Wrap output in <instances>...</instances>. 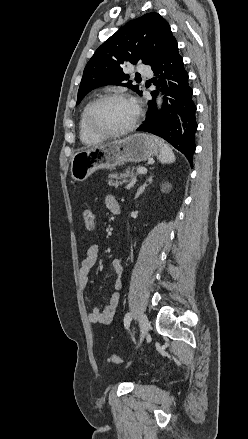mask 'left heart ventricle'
<instances>
[{"label": "left heart ventricle", "instance_id": "obj_1", "mask_svg": "<svg viewBox=\"0 0 248 439\" xmlns=\"http://www.w3.org/2000/svg\"><path fill=\"white\" fill-rule=\"evenodd\" d=\"M136 115L135 105L127 100H108L95 112L96 123L107 130H121L129 126Z\"/></svg>", "mask_w": 248, "mask_h": 439}]
</instances>
